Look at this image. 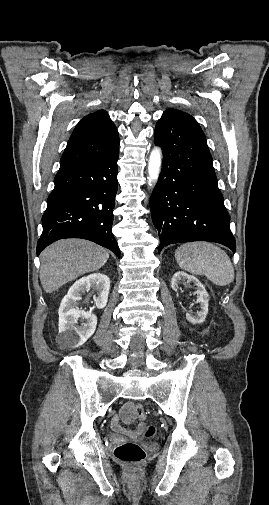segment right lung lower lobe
Instances as JSON below:
<instances>
[{"label":"right lung lower lobe","mask_w":269,"mask_h":505,"mask_svg":"<svg viewBox=\"0 0 269 505\" xmlns=\"http://www.w3.org/2000/svg\"><path fill=\"white\" fill-rule=\"evenodd\" d=\"M118 157L119 143L99 156L59 169L42 217L37 255L56 240L83 238L110 249L120 258L111 231Z\"/></svg>","instance_id":"98d812e1"}]
</instances>
